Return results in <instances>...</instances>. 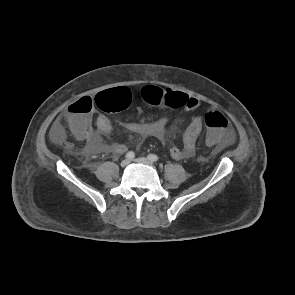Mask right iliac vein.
I'll return each instance as SVG.
<instances>
[{"instance_id": "right-iliac-vein-1", "label": "right iliac vein", "mask_w": 295, "mask_h": 295, "mask_svg": "<svg viewBox=\"0 0 295 295\" xmlns=\"http://www.w3.org/2000/svg\"><path fill=\"white\" fill-rule=\"evenodd\" d=\"M130 164V160L129 159H124L122 162H121V167H126Z\"/></svg>"}]
</instances>
